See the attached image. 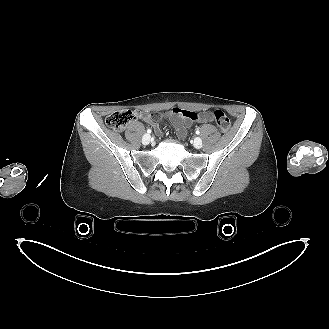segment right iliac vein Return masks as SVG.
<instances>
[{
  "instance_id": "63e3f726",
  "label": "right iliac vein",
  "mask_w": 329,
  "mask_h": 329,
  "mask_svg": "<svg viewBox=\"0 0 329 329\" xmlns=\"http://www.w3.org/2000/svg\"><path fill=\"white\" fill-rule=\"evenodd\" d=\"M150 140H151V136L149 134H145L143 137H142V143L144 145H148L150 143Z\"/></svg>"
}]
</instances>
